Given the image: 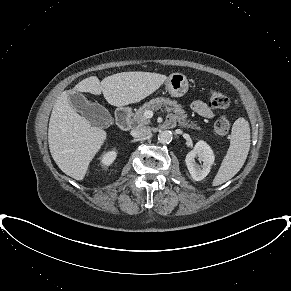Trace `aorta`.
Returning a JSON list of instances; mask_svg holds the SVG:
<instances>
[{
  "instance_id": "aorta-1",
  "label": "aorta",
  "mask_w": 291,
  "mask_h": 291,
  "mask_svg": "<svg viewBox=\"0 0 291 291\" xmlns=\"http://www.w3.org/2000/svg\"><path fill=\"white\" fill-rule=\"evenodd\" d=\"M172 140V133L171 131L165 130L160 132L158 135V141L162 144H168Z\"/></svg>"
}]
</instances>
